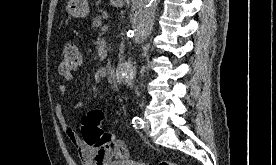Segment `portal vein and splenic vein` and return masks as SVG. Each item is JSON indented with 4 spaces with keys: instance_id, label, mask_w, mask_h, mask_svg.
<instances>
[{
    "instance_id": "1",
    "label": "portal vein and splenic vein",
    "mask_w": 276,
    "mask_h": 165,
    "mask_svg": "<svg viewBox=\"0 0 276 165\" xmlns=\"http://www.w3.org/2000/svg\"><path fill=\"white\" fill-rule=\"evenodd\" d=\"M101 31H102V32L108 31V26H107V25H104V26L101 28Z\"/></svg>"
}]
</instances>
